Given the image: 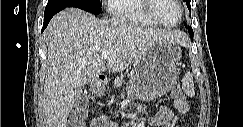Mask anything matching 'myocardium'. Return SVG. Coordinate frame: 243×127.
<instances>
[{
    "label": "myocardium",
    "instance_id": "f54148a6",
    "mask_svg": "<svg viewBox=\"0 0 243 127\" xmlns=\"http://www.w3.org/2000/svg\"><path fill=\"white\" fill-rule=\"evenodd\" d=\"M155 1L156 0H144L146 13L153 22H155L157 25L165 27V28H175V27H178L179 25H181V23L184 19L185 12H184V7L182 5V2L180 0H174L180 9V18H179L178 22H176L174 24H167L158 18L157 14L155 13Z\"/></svg>",
    "mask_w": 243,
    "mask_h": 127
}]
</instances>
